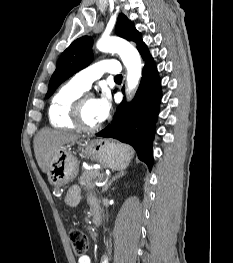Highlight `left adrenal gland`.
Instances as JSON below:
<instances>
[{
	"label": "left adrenal gland",
	"mask_w": 233,
	"mask_h": 263,
	"mask_svg": "<svg viewBox=\"0 0 233 263\" xmlns=\"http://www.w3.org/2000/svg\"><path fill=\"white\" fill-rule=\"evenodd\" d=\"M126 174V172L121 171L118 174H116L115 176L112 177V179L102 188V193L106 192L108 190V188L111 186V184L118 178L123 177Z\"/></svg>",
	"instance_id": "left-adrenal-gland-1"
}]
</instances>
